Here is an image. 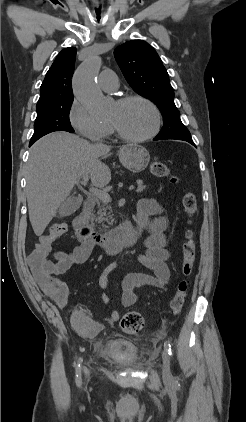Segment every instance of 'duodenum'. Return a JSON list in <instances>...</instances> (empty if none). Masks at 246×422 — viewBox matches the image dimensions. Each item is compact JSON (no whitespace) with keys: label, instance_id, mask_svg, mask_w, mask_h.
I'll list each match as a JSON object with an SVG mask.
<instances>
[{"label":"duodenum","instance_id":"obj_1","mask_svg":"<svg viewBox=\"0 0 246 422\" xmlns=\"http://www.w3.org/2000/svg\"><path fill=\"white\" fill-rule=\"evenodd\" d=\"M95 206L93 198H87L81 212L73 221L77 238L82 243L100 247L106 254H115L132 247L139 239L141 228L126 222L122 226L105 233H99L91 224V213Z\"/></svg>","mask_w":246,"mask_h":422}]
</instances>
